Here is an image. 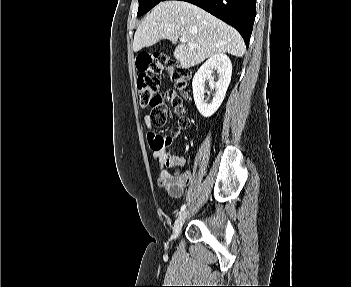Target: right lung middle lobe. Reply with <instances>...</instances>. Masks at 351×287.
<instances>
[{"mask_svg": "<svg viewBox=\"0 0 351 287\" xmlns=\"http://www.w3.org/2000/svg\"><path fill=\"white\" fill-rule=\"evenodd\" d=\"M164 0H139V9L137 15H143L151 10L155 5Z\"/></svg>", "mask_w": 351, "mask_h": 287, "instance_id": "obj_1", "label": "right lung middle lobe"}]
</instances>
